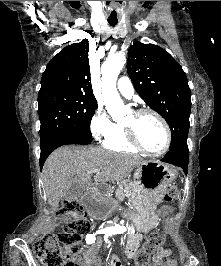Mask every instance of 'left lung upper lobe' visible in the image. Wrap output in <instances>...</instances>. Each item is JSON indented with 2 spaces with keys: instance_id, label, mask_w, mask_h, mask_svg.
Here are the masks:
<instances>
[{
  "instance_id": "1",
  "label": "left lung upper lobe",
  "mask_w": 221,
  "mask_h": 266,
  "mask_svg": "<svg viewBox=\"0 0 221 266\" xmlns=\"http://www.w3.org/2000/svg\"><path fill=\"white\" fill-rule=\"evenodd\" d=\"M127 71L140 97L167 121L170 149L187 143L191 92L182 67L163 48L135 41Z\"/></svg>"
}]
</instances>
